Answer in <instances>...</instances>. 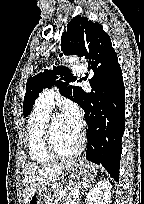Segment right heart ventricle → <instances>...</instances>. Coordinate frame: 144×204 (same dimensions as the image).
<instances>
[{
    "mask_svg": "<svg viewBox=\"0 0 144 204\" xmlns=\"http://www.w3.org/2000/svg\"><path fill=\"white\" fill-rule=\"evenodd\" d=\"M50 112L51 109L36 102L28 118L27 142L29 155L38 164H49L56 160L45 145L44 129Z\"/></svg>",
    "mask_w": 144,
    "mask_h": 204,
    "instance_id": "right-heart-ventricle-1",
    "label": "right heart ventricle"
}]
</instances>
